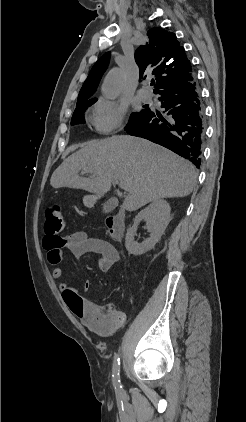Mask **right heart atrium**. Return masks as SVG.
Wrapping results in <instances>:
<instances>
[{"mask_svg":"<svg viewBox=\"0 0 246 422\" xmlns=\"http://www.w3.org/2000/svg\"><path fill=\"white\" fill-rule=\"evenodd\" d=\"M125 114V108L119 103L100 98L92 106L90 123L98 133L112 134L121 128Z\"/></svg>","mask_w":246,"mask_h":422,"instance_id":"obj_1","label":"right heart atrium"}]
</instances>
